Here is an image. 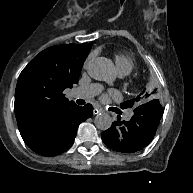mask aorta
I'll list each match as a JSON object with an SVG mask.
<instances>
[{"label": "aorta", "mask_w": 193, "mask_h": 193, "mask_svg": "<svg viewBox=\"0 0 193 193\" xmlns=\"http://www.w3.org/2000/svg\"><path fill=\"white\" fill-rule=\"evenodd\" d=\"M89 75L99 81L111 83L114 80L113 65L105 58H99L88 64ZM95 126L102 131L108 130L112 125V118L107 113H100L94 119Z\"/></svg>", "instance_id": "aorta-1"}]
</instances>
